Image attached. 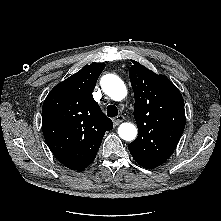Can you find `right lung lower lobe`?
<instances>
[{
  "mask_svg": "<svg viewBox=\"0 0 221 221\" xmlns=\"http://www.w3.org/2000/svg\"><path fill=\"white\" fill-rule=\"evenodd\" d=\"M96 156H94L87 164H85L84 166H82L80 169H78L77 171H83L90 163H92V161L95 159Z\"/></svg>",
  "mask_w": 221,
  "mask_h": 221,
  "instance_id": "98d812e1",
  "label": "right lung lower lobe"
}]
</instances>
